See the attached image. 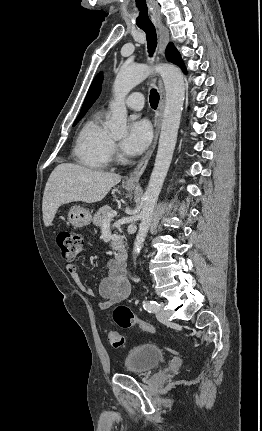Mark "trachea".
<instances>
[{"instance_id":"1","label":"trachea","mask_w":262,"mask_h":431,"mask_svg":"<svg viewBox=\"0 0 262 431\" xmlns=\"http://www.w3.org/2000/svg\"><path fill=\"white\" fill-rule=\"evenodd\" d=\"M136 8L138 9L139 13L143 15L147 12V5L145 0H136ZM145 33L147 38V46H148V53L149 56L152 57L156 46H157V36H156V30L154 26H139ZM149 102L153 109H156L159 102V94L156 89H151L150 96H149Z\"/></svg>"}]
</instances>
